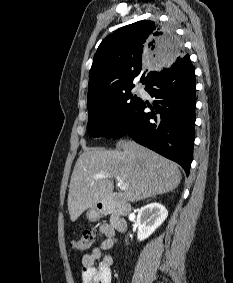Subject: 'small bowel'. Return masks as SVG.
I'll list each match as a JSON object with an SVG mask.
<instances>
[{"instance_id":"c3829d8e","label":"small bowel","mask_w":233,"mask_h":283,"mask_svg":"<svg viewBox=\"0 0 233 283\" xmlns=\"http://www.w3.org/2000/svg\"><path fill=\"white\" fill-rule=\"evenodd\" d=\"M101 233L106 237L91 253L82 258V282L83 283H111L113 257L109 254L102 255L103 251L112 248L115 244L114 231L109 225L100 227ZM100 259L98 266L96 262Z\"/></svg>"}]
</instances>
